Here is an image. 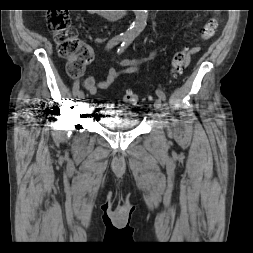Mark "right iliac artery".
Wrapping results in <instances>:
<instances>
[{
	"label": "right iliac artery",
	"mask_w": 253,
	"mask_h": 253,
	"mask_svg": "<svg viewBox=\"0 0 253 253\" xmlns=\"http://www.w3.org/2000/svg\"><path fill=\"white\" fill-rule=\"evenodd\" d=\"M123 38L120 36H116L113 39H111L106 46V49H111L113 46L117 45L120 41H122ZM79 82H75L73 86V94L76 96L79 93Z\"/></svg>",
	"instance_id": "obj_1"
}]
</instances>
